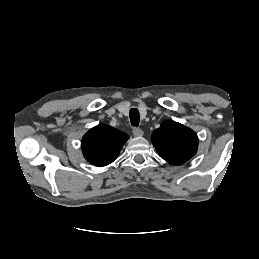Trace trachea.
I'll list each match as a JSON object with an SVG mask.
<instances>
[{
    "instance_id": "obj_1",
    "label": "trachea",
    "mask_w": 259,
    "mask_h": 259,
    "mask_svg": "<svg viewBox=\"0 0 259 259\" xmlns=\"http://www.w3.org/2000/svg\"><path fill=\"white\" fill-rule=\"evenodd\" d=\"M130 122L132 126L137 127L139 125V111L136 108H132L129 112Z\"/></svg>"
}]
</instances>
